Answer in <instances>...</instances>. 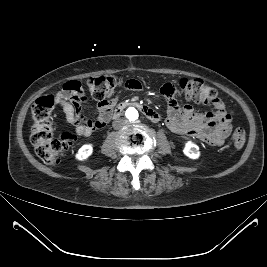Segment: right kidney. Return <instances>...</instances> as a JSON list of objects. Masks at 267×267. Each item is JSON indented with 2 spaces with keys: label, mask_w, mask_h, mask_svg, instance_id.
<instances>
[{
  "label": "right kidney",
  "mask_w": 267,
  "mask_h": 267,
  "mask_svg": "<svg viewBox=\"0 0 267 267\" xmlns=\"http://www.w3.org/2000/svg\"><path fill=\"white\" fill-rule=\"evenodd\" d=\"M93 152V145L92 144H85L83 145L78 153L76 154V158L78 160H86Z\"/></svg>",
  "instance_id": "right-kidney-1"
}]
</instances>
